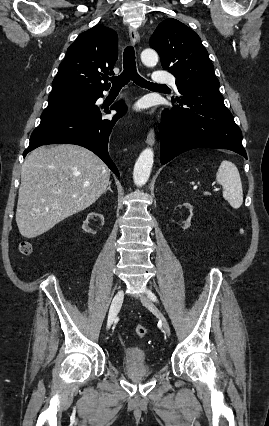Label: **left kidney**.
Listing matches in <instances>:
<instances>
[{
	"label": "left kidney",
	"instance_id": "obj_1",
	"mask_svg": "<svg viewBox=\"0 0 269 426\" xmlns=\"http://www.w3.org/2000/svg\"><path fill=\"white\" fill-rule=\"evenodd\" d=\"M181 206L185 207V208H186V209H188V210H189V212H190V215H189L188 219H187L186 221H182V222H181V223L184 225V229H185V228H188V227L190 226V221H191V218H192V216H193V207H192V205H191L190 203H188V202H185V203H183L182 205H179V207H181Z\"/></svg>",
	"mask_w": 269,
	"mask_h": 426
}]
</instances>
